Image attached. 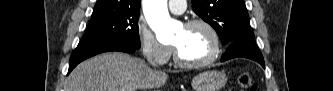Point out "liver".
Wrapping results in <instances>:
<instances>
[{"mask_svg": "<svg viewBox=\"0 0 333 91\" xmlns=\"http://www.w3.org/2000/svg\"><path fill=\"white\" fill-rule=\"evenodd\" d=\"M168 79L143 60L120 52L104 53L79 64L68 76L65 91H136L159 89Z\"/></svg>", "mask_w": 333, "mask_h": 91, "instance_id": "obj_1", "label": "liver"}]
</instances>
